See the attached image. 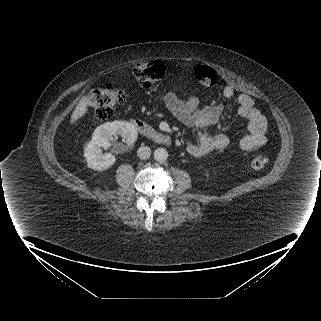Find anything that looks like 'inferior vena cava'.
I'll list each match as a JSON object with an SVG mask.
<instances>
[{"instance_id":"obj_1","label":"inferior vena cava","mask_w":321,"mask_h":321,"mask_svg":"<svg viewBox=\"0 0 321 321\" xmlns=\"http://www.w3.org/2000/svg\"><path fill=\"white\" fill-rule=\"evenodd\" d=\"M151 155V149L148 146H141L138 150H137V156L142 159H148Z\"/></svg>"}]
</instances>
